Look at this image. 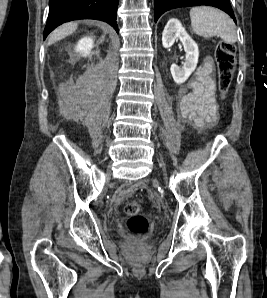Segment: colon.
<instances>
[{
  "instance_id": "5ec220e1",
  "label": "colon",
  "mask_w": 267,
  "mask_h": 298,
  "mask_svg": "<svg viewBox=\"0 0 267 298\" xmlns=\"http://www.w3.org/2000/svg\"><path fill=\"white\" fill-rule=\"evenodd\" d=\"M235 45L228 42H221L216 50V62L218 68L219 90L222 97H225L231 86L235 64ZM141 205L137 202L128 203L125 206L128 229L136 234L147 232L148 220L141 215Z\"/></svg>"
}]
</instances>
